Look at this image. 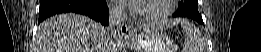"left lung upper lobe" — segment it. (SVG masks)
Returning a JSON list of instances; mask_svg holds the SVG:
<instances>
[{
  "instance_id": "1",
  "label": "left lung upper lobe",
  "mask_w": 261,
  "mask_h": 52,
  "mask_svg": "<svg viewBox=\"0 0 261 52\" xmlns=\"http://www.w3.org/2000/svg\"><path fill=\"white\" fill-rule=\"evenodd\" d=\"M175 14L180 17H188L198 22H203L198 11L197 0H182L179 3L178 11Z\"/></svg>"
}]
</instances>
